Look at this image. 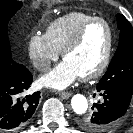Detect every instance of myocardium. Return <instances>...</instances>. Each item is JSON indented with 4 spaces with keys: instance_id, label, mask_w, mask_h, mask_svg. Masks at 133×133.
<instances>
[{
    "instance_id": "obj_1",
    "label": "myocardium",
    "mask_w": 133,
    "mask_h": 133,
    "mask_svg": "<svg viewBox=\"0 0 133 133\" xmlns=\"http://www.w3.org/2000/svg\"><path fill=\"white\" fill-rule=\"evenodd\" d=\"M97 22L104 24L107 29L108 39H107L105 54L103 56L102 61L94 71L86 75L79 76L81 81H90L98 78L108 67L112 55L113 42H114V32L112 26L106 19L102 17H92L81 25V27L77 30L74 36L62 49V57L63 59H65L66 55L79 45L89 26Z\"/></svg>"
}]
</instances>
